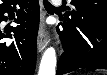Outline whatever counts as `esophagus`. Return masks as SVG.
Returning <instances> with one entry per match:
<instances>
[{"label": "esophagus", "mask_w": 107, "mask_h": 75, "mask_svg": "<svg viewBox=\"0 0 107 75\" xmlns=\"http://www.w3.org/2000/svg\"><path fill=\"white\" fill-rule=\"evenodd\" d=\"M39 4H40V24L37 36V47L39 52H43V50L48 45L49 37L44 27L46 14L43 9V0H39Z\"/></svg>", "instance_id": "1"}]
</instances>
